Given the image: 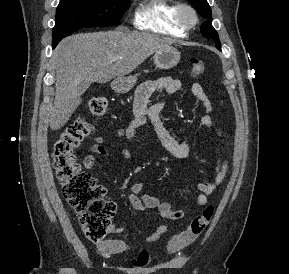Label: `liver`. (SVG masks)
I'll use <instances>...</instances> for the list:
<instances>
[{
	"instance_id": "1",
	"label": "liver",
	"mask_w": 289,
	"mask_h": 274,
	"mask_svg": "<svg viewBox=\"0 0 289 274\" xmlns=\"http://www.w3.org/2000/svg\"><path fill=\"white\" fill-rule=\"evenodd\" d=\"M167 47L168 41L154 35L122 30L80 33L63 39L52 56L56 81L50 129L63 127L81 104V83H106L128 75L150 55Z\"/></svg>"
}]
</instances>
